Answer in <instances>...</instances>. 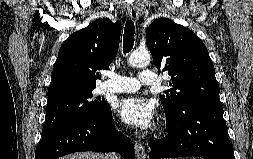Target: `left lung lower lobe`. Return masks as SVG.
Here are the masks:
<instances>
[{"label": "left lung lower lobe", "mask_w": 253, "mask_h": 159, "mask_svg": "<svg viewBox=\"0 0 253 159\" xmlns=\"http://www.w3.org/2000/svg\"><path fill=\"white\" fill-rule=\"evenodd\" d=\"M168 134L149 144L150 159L198 156L235 159L222 116V106L194 103L173 118L167 117Z\"/></svg>", "instance_id": "1"}]
</instances>
